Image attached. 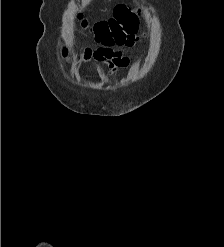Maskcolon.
<instances>
[{"mask_svg": "<svg viewBox=\"0 0 224 247\" xmlns=\"http://www.w3.org/2000/svg\"><path fill=\"white\" fill-rule=\"evenodd\" d=\"M139 15V10L121 4L115 7L113 16L107 20L89 24L82 14H78L77 21L81 30L91 33L96 41H106L137 31Z\"/></svg>", "mask_w": 224, "mask_h": 247, "instance_id": "5ec220e1", "label": "colon"}]
</instances>
